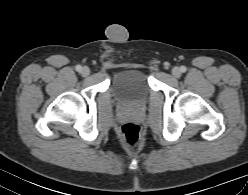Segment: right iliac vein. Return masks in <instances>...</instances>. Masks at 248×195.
I'll list each match as a JSON object with an SVG mask.
<instances>
[{"instance_id":"1","label":"right iliac vein","mask_w":248,"mask_h":195,"mask_svg":"<svg viewBox=\"0 0 248 195\" xmlns=\"http://www.w3.org/2000/svg\"><path fill=\"white\" fill-rule=\"evenodd\" d=\"M83 76H88L90 74V69L88 67H83L81 70Z\"/></svg>"}]
</instances>
